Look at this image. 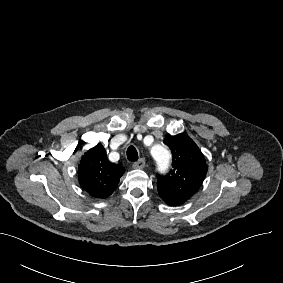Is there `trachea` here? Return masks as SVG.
Instances as JSON below:
<instances>
[{"label": "trachea", "instance_id": "obj_1", "mask_svg": "<svg viewBox=\"0 0 283 283\" xmlns=\"http://www.w3.org/2000/svg\"><path fill=\"white\" fill-rule=\"evenodd\" d=\"M127 158L129 161H137L139 159L138 152L134 146H129L127 149Z\"/></svg>", "mask_w": 283, "mask_h": 283}]
</instances>
